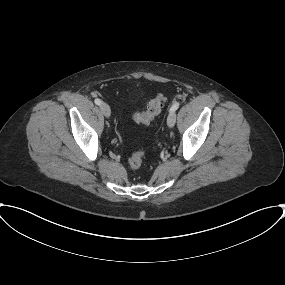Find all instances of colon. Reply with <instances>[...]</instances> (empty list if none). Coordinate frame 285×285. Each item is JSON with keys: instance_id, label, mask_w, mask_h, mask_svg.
<instances>
[{"instance_id": "1", "label": "colon", "mask_w": 285, "mask_h": 285, "mask_svg": "<svg viewBox=\"0 0 285 285\" xmlns=\"http://www.w3.org/2000/svg\"><path fill=\"white\" fill-rule=\"evenodd\" d=\"M166 97L164 94H158L152 98L147 109L144 112L135 113L133 119L136 123L149 124L154 120V118L161 112ZM144 158V153L141 150H136L129 158L128 165L132 170H137L141 167Z\"/></svg>"}]
</instances>
